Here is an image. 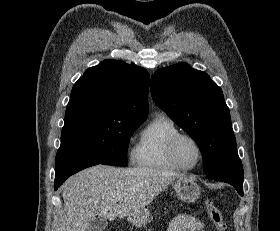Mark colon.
<instances>
[{
	"label": "colon",
	"instance_id": "1",
	"mask_svg": "<svg viewBox=\"0 0 280 231\" xmlns=\"http://www.w3.org/2000/svg\"><path fill=\"white\" fill-rule=\"evenodd\" d=\"M205 205L209 214V218L211 222L214 224L216 231H226L227 225L224 221L220 209L212 201L209 200L206 201Z\"/></svg>",
	"mask_w": 280,
	"mask_h": 231
}]
</instances>
